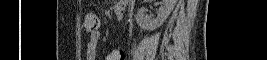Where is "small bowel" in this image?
Instances as JSON below:
<instances>
[{"label":"small bowel","mask_w":267,"mask_h":60,"mask_svg":"<svg viewBox=\"0 0 267 60\" xmlns=\"http://www.w3.org/2000/svg\"><path fill=\"white\" fill-rule=\"evenodd\" d=\"M117 6H123V3H118ZM100 32H94L89 35L86 47V59L95 60L97 58V50L100 42ZM106 60H125L123 51L114 50L108 54Z\"/></svg>","instance_id":"obj_1"}]
</instances>
